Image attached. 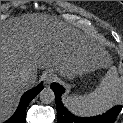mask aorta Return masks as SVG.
Here are the masks:
<instances>
[{"label":"aorta","mask_w":123,"mask_h":123,"mask_svg":"<svg viewBox=\"0 0 123 123\" xmlns=\"http://www.w3.org/2000/svg\"><path fill=\"white\" fill-rule=\"evenodd\" d=\"M39 96L40 100L45 104L52 103L55 100V94L51 88H44Z\"/></svg>","instance_id":"aorta-1"}]
</instances>
